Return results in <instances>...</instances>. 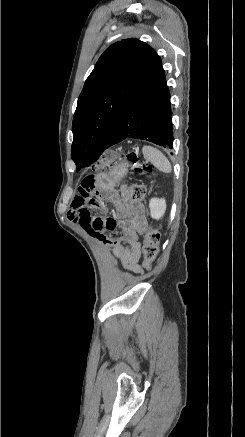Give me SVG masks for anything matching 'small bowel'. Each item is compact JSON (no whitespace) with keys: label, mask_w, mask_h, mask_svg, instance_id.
I'll return each instance as SVG.
<instances>
[{"label":"small bowel","mask_w":245,"mask_h":437,"mask_svg":"<svg viewBox=\"0 0 245 437\" xmlns=\"http://www.w3.org/2000/svg\"><path fill=\"white\" fill-rule=\"evenodd\" d=\"M115 156V150H102L97 166H93L91 171L87 172L86 177L79 185L80 195L75 196L72 200L69 217L87 234L111 247L113 255L127 269L138 272V262L141 257L139 236L145 232L147 227L145 210L142 204L134 203L130 198L129 191L124 186L121 187V195L117 199L109 193L105 194V198L114 203L116 216L122 224L120 232H117L116 219L106 218L102 220L89 214L91 208L97 209L102 206L103 201L100 197L92 196L89 203H86V198L97 190L95 180L108 170L111 163L114 162ZM103 226L112 235H104L102 233Z\"/></svg>","instance_id":"obj_1"}]
</instances>
